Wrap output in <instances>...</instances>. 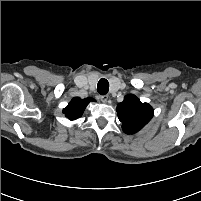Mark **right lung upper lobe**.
<instances>
[{"instance_id":"cb5924a9","label":"right lung upper lobe","mask_w":201,"mask_h":201,"mask_svg":"<svg viewBox=\"0 0 201 201\" xmlns=\"http://www.w3.org/2000/svg\"><path fill=\"white\" fill-rule=\"evenodd\" d=\"M95 101L93 98L88 97L85 99H80L78 97L73 98L68 106L63 109V113L66 114V116L70 120H75L78 117L82 116V113L89 102Z\"/></svg>"}]
</instances>
